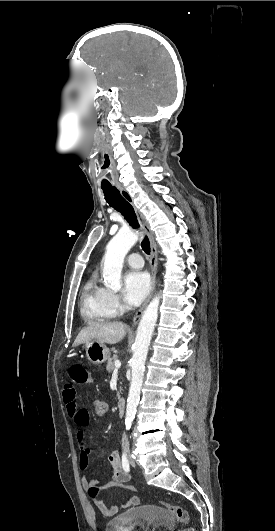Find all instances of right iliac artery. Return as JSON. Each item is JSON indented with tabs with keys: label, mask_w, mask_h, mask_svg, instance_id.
I'll use <instances>...</instances> for the list:
<instances>
[{
	"label": "right iliac artery",
	"mask_w": 275,
	"mask_h": 531,
	"mask_svg": "<svg viewBox=\"0 0 275 531\" xmlns=\"http://www.w3.org/2000/svg\"><path fill=\"white\" fill-rule=\"evenodd\" d=\"M122 466L126 472H129L130 470L129 460L125 453L122 454Z\"/></svg>",
	"instance_id": "82829eb1"
}]
</instances>
